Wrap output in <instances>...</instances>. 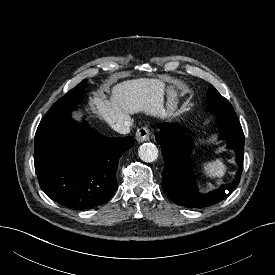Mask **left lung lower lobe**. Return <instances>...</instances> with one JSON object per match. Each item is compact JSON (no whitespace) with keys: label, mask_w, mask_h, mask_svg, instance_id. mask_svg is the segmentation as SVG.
<instances>
[{"label":"left lung lower lobe","mask_w":275,"mask_h":275,"mask_svg":"<svg viewBox=\"0 0 275 275\" xmlns=\"http://www.w3.org/2000/svg\"><path fill=\"white\" fill-rule=\"evenodd\" d=\"M220 139L228 141V149L236 153L239 169L235 180L207 194L196 190V181L190 168L189 155L193 143L179 124H166L156 135L165 160L162 188L177 205L202 208L216 204L230 195L238 186L243 168L244 134L241 125H220Z\"/></svg>","instance_id":"1"}]
</instances>
